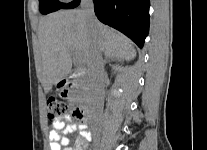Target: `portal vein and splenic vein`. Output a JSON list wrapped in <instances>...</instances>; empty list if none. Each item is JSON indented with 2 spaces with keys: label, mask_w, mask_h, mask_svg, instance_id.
<instances>
[{
  "label": "portal vein and splenic vein",
  "mask_w": 207,
  "mask_h": 150,
  "mask_svg": "<svg viewBox=\"0 0 207 150\" xmlns=\"http://www.w3.org/2000/svg\"><path fill=\"white\" fill-rule=\"evenodd\" d=\"M76 59H77V63H78V64H82V60H81L80 57L76 56ZM82 71L84 72V70H82Z\"/></svg>",
  "instance_id": "18ae733b"
}]
</instances>
